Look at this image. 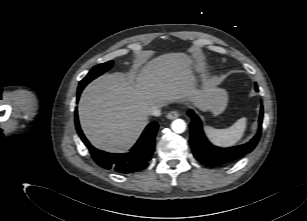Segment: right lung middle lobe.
<instances>
[{
	"label": "right lung middle lobe",
	"instance_id": "1",
	"mask_svg": "<svg viewBox=\"0 0 307 221\" xmlns=\"http://www.w3.org/2000/svg\"><path fill=\"white\" fill-rule=\"evenodd\" d=\"M113 65L112 61L103 63V64H99L97 66H95L88 74L87 76L80 82V86H86L90 81H92L93 79H95L96 77L100 76L101 74H103L104 72H106L107 70H109Z\"/></svg>",
	"mask_w": 307,
	"mask_h": 221
}]
</instances>
